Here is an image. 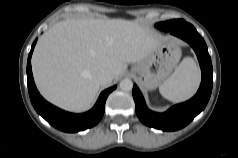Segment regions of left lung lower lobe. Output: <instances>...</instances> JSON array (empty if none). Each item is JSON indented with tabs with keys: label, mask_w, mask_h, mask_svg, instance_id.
Instances as JSON below:
<instances>
[{
	"label": "left lung lower lobe",
	"mask_w": 238,
	"mask_h": 158,
	"mask_svg": "<svg viewBox=\"0 0 238 158\" xmlns=\"http://www.w3.org/2000/svg\"><path fill=\"white\" fill-rule=\"evenodd\" d=\"M166 28L171 34L188 42L196 52L202 71L200 88L192 99L173 106L165 113L149 110L136 85L133 87V98L137 116L145 125L163 131H175L188 125L207 105L213 84L212 63L204 39L191 24L176 25L175 21H171Z\"/></svg>",
	"instance_id": "obj_1"
}]
</instances>
